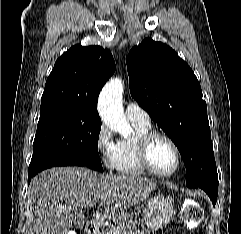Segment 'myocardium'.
Returning <instances> with one entry per match:
<instances>
[{
  "label": "myocardium",
  "instance_id": "obj_1",
  "mask_svg": "<svg viewBox=\"0 0 241 234\" xmlns=\"http://www.w3.org/2000/svg\"><path fill=\"white\" fill-rule=\"evenodd\" d=\"M157 139L166 140L168 143H170V145L173 147V149L176 153L175 167L169 172L158 171L157 169H155V167L153 166V164L151 162L150 150H151L152 144ZM138 155H139L140 163L142 164L144 169L148 173H150L156 177H160V178H167V177L174 175L180 168V165L182 162V154H181V150H180V147L177 144V142L168 134H166L164 132L156 131V130L148 131L147 133L143 134L139 138Z\"/></svg>",
  "mask_w": 241,
  "mask_h": 234
}]
</instances>
